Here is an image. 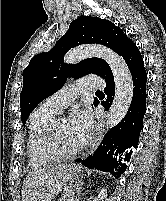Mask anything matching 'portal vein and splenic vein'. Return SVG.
Here are the masks:
<instances>
[{
  "mask_svg": "<svg viewBox=\"0 0 166 201\" xmlns=\"http://www.w3.org/2000/svg\"><path fill=\"white\" fill-rule=\"evenodd\" d=\"M64 190L67 192V191H69V188H68V187H65Z\"/></svg>",
  "mask_w": 166,
  "mask_h": 201,
  "instance_id": "portal-vein-and-splenic-vein-1",
  "label": "portal vein and splenic vein"
}]
</instances>
